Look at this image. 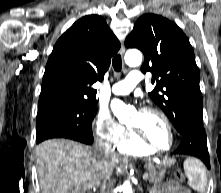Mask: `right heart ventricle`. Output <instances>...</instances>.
I'll use <instances>...</instances> for the list:
<instances>
[{
  "mask_svg": "<svg viewBox=\"0 0 221 193\" xmlns=\"http://www.w3.org/2000/svg\"><path fill=\"white\" fill-rule=\"evenodd\" d=\"M115 149L122 154L128 155H148L152 152L138 142L135 137L129 133L126 134L125 138L115 145Z\"/></svg>",
  "mask_w": 221,
  "mask_h": 193,
  "instance_id": "e07e8e85",
  "label": "right heart ventricle"
}]
</instances>
